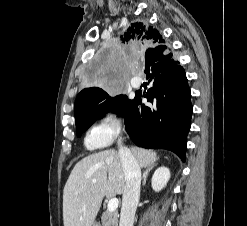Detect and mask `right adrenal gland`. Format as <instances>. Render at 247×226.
I'll return each mask as SVG.
<instances>
[{"label":"right adrenal gland","instance_id":"right-adrenal-gland-1","mask_svg":"<svg viewBox=\"0 0 247 226\" xmlns=\"http://www.w3.org/2000/svg\"><path fill=\"white\" fill-rule=\"evenodd\" d=\"M156 166V164L150 165L149 167H147L145 169V171L143 172V186L146 185V181H147V177L149 172Z\"/></svg>","mask_w":247,"mask_h":226}]
</instances>
